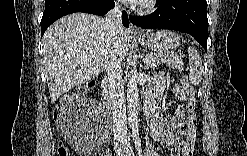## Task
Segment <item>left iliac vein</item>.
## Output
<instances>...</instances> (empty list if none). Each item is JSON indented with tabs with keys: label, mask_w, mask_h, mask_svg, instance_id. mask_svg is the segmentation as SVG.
Instances as JSON below:
<instances>
[{
	"label": "left iliac vein",
	"mask_w": 247,
	"mask_h": 156,
	"mask_svg": "<svg viewBox=\"0 0 247 156\" xmlns=\"http://www.w3.org/2000/svg\"><path fill=\"white\" fill-rule=\"evenodd\" d=\"M127 155H131L132 154V148L130 145L127 146V151H126Z\"/></svg>",
	"instance_id": "4c4485c4"
}]
</instances>
